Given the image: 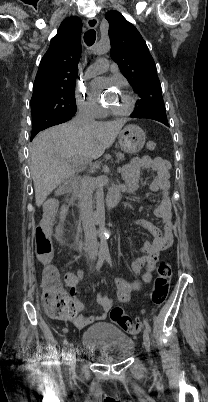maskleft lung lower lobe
Segmentation results:
<instances>
[{"mask_svg":"<svg viewBox=\"0 0 208 402\" xmlns=\"http://www.w3.org/2000/svg\"><path fill=\"white\" fill-rule=\"evenodd\" d=\"M132 118H134L133 116H131ZM166 126H168V123H165Z\"/></svg>","mask_w":208,"mask_h":402,"instance_id":"0a47b994","label":"left lung lower lobe"}]
</instances>
